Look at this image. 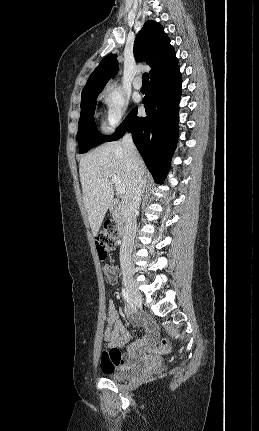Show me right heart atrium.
I'll return each mask as SVG.
<instances>
[{
  "mask_svg": "<svg viewBox=\"0 0 259 431\" xmlns=\"http://www.w3.org/2000/svg\"><path fill=\"white\" fill-rule=\"evenodd\" d=\"M105 104L104 123L107 129L115 130L126 122L129 103L124 93L116 86H107L100 95Z\"/></svg>",
  "mask_w": 259,
  "mask_h": 431,
  "instance_id": "d8ad5b80",
  "label": "right heart atrium"
}]
</instances>
